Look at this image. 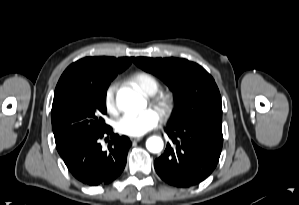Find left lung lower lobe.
<instances>
[{
	"instance_id": "1",
	"label": "left lung lower lobe",
	"mask_w": 299,
	"mask_h": 205,
	"mask_svg": "<svg viewBox=\"0 0 299 205\" xmlns=\"http://www.w3.org/2000/svg\"><path fill=\"white\" fill-rule=\"evenodd\" d=\"M165 132L174 145L168 143L164 154L155 160V170L160 178L180 188L205 180L215 169L221 154L222 117L169 124Z\"/></svg>"
}]
</instances>
